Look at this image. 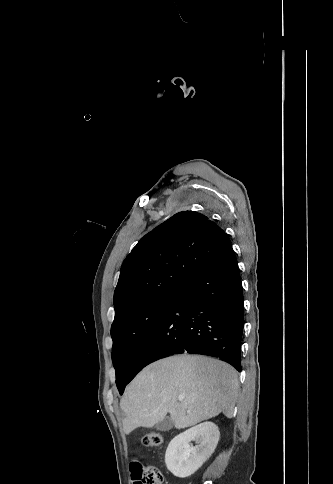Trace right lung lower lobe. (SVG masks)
<instances>
[{
  "mask_svg": "<svg viewBox=\"0 0 333 484\" xmlns=\"http://www.w3.org/2000/svg\"><path fill=\"white\" fill-rule=\"evenodd\" d=\"M244 303L232 248L178 290L142 343L128 383L146 365L172 354L221 358L241 371Z\"/></svg>",
  "mask_w": 333,
  "mask_h": 484,
  "instance_id": "obj_1",
  "label": "right lung lower lobe"
}]
</instances>
